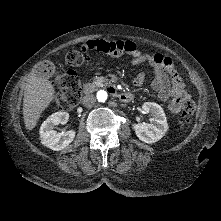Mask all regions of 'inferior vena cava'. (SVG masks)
<instances>
[{
    "label": "inferior vena cava",
    "instance_id": "obj_1",
    "mask_svg": "<svg viewBox=\"0 0 221 221\" xmlns=\"http://www.w3.org/2000/svg\"><path fill=\"white\" fill-rule=\"evenodd\" d=\"M95 102H96V98L92 94H88L84 96L83 101H82L83 105L87 108L92 107L95 104Z\"/></svg>",
    "mask_w": 221,
    "mask_h": 221
}]
</instances>
